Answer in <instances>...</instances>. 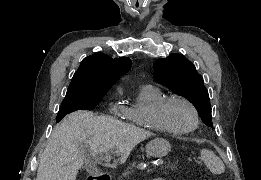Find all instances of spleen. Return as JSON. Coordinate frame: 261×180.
I'll list each match as a JSON object with an SVG mask.
<instances>
[{
    "mask_svg": "<svg viewBox=\"0 0 261 180\" xmlns=\"http://www.w3.org/2000/svg\"><path fill=\"white\" fill-rule=\"evenodd\" d=\"M201 158L212 174H223V172H225V166L222 160H220L218 156H215L214 152L201 150Z\"/></svg>",
    "mask_w": 261,
    "mask_h": 180,
    "instance_id": "3e777b00",
    "label": "spleen"
}]
</instances>
